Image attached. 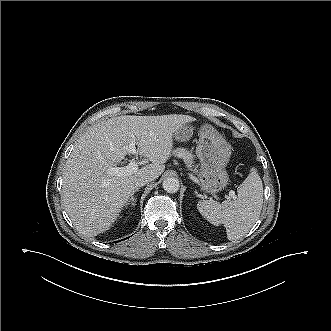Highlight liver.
Here are the masks:
<instances>
[{
	"label": "liver",
	"mask_w": 331,
	"mask_h": 331,
	"mask_svg": "<svg viewBox=\"0 0 331 331\" xmlns=\"http://www.w3.org/2000/svg\"><path fill=\"white\" fill-rule=\"evenodd\" d=\"M187 115L120 116L91 127L75 145L63 173V199L73 223L87 236L108 230L127 204L134 181L157 179L171 156L174 133L192 122ZM134 142L148 164L131 175L108 169L120 163Z\"/></svg>",
	"instance_id": "1"
}]
</instances>
